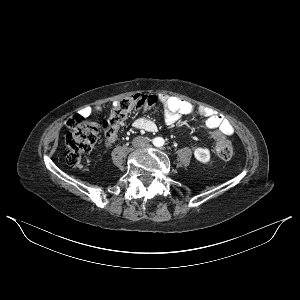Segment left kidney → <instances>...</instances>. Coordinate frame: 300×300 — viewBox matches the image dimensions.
Here are the masks:
<instances>
[{
	"label": "left kidney",
	"instance_id": "1",
	"mask_svg": "<svg viewBox=\"0 0 300 300\" xmlns=\"http://www.w3.org/2000/svg\"><path fill=\"white\" fill-rule=\"evenodd\" d=\"M195 158L201 163H208L210 161V151L207 148H196L194 150Z\"/></svg>",
	"mask_w": 300,
	"mask_h": 300
}]
</instances>
